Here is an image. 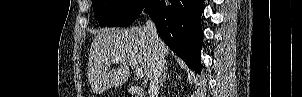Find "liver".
Returning <instances> with one entry per match:
<instances>
[{
  "instance_id": "1",
  "label": "liver",
  "mask_w": 302,
  "mask_h": 97,
  "mask_svg": "<svg viewBox=\"0 0 302 97\" xmlns=\"http://www.w3.org/2000/svg\"><path fill=\"white\" fill-rule=\"evenodd\" d=\"M163 46L166 56L169 49L164 42ZM129 59L139 63L149 80L154 63V48L146 27L101 30L93 39L89 54L88 80L93 92L100 94L124 84L129 77ZM112 64H118V67L111 70Z\"/></svg>"
}]
</instances>
